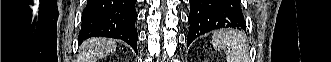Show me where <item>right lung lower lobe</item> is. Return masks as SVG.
<instances>
[{
  "instance_id": "obj_1",
  "label": "right lung lower lobe",
  "mask_w": 331,
  "mask_h": 62,
  "mask_svg": "<svg viewBox=\"0 0 331 62\" xmlns=\"http://www.w3.org/2000/svg\"><path fill=\"white\" fill-rule=\"evenodd\" d=\"M137 0H87L78 41L94 36L121 39L137 53Z\"/></svg>"
}]
</instances>
